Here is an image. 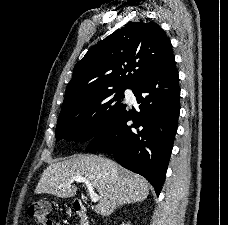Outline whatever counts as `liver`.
<instances>
[{"instance_id":"1","label":"liver","mask_w":228,"mask_h":225,"mask_svg":"<svg viewBox=\"0 0 228 225\" xmlns=\"http://www.w3.org/2000/svg\"><path fill=\"white\" fill-rule=\"evenodd\" d=\"M72 177H86L97 189L99 203L95 211L102 217L112 215L117 205L145 201L149 195L146 179L97 155H77L69 161L52 163L43 171L34 193H48L60 199L75 197L77 187L72 185Z\"/></svg>"}]
</instances>
